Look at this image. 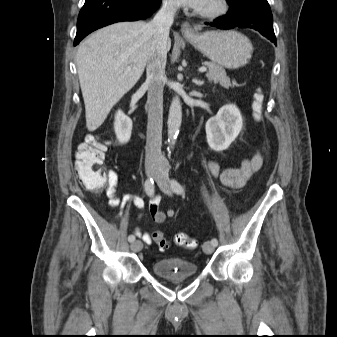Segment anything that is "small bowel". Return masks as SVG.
<instances>
[{"instance_id":"c3829d8e","label":"small bowel","mask_w":337,"mask_h":337,"mask_svg":"<svg viewBox=\"0 0 337 337\" xmlns=\"http://www.w3.org/2000/svg\"><path fill=\"white\" fill-rule=\"evenodd\" d=\"M262 155L256 151L251 157H244L239 167H229L221 169L215 160H208L207 167L212 178L218 179L223 186L232 190H239L245 186L251 176L262 166ZM118 175L115 171H108V183L106 196L109 206L119 209V216L122 217L125 212L126 205L133 203L138 209L145 208L144 201L134 195L126 194L122 198L117 195ZM161 197L155 195L149 204L148 212L155 224H161L166 219H171L175 216V211L168 209L165 212L159 209ZM135 235L144 243L151 244L154 241L153 234L143 232L140 228L135 229Z\"/></svg>"}]
</instances>
